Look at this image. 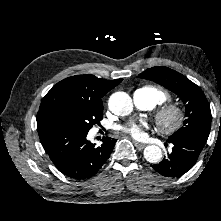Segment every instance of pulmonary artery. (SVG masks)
<instances>
[{"label":"pulmonary artery","instance_id":"e3ab8cb5","mask_svg":"<svg viewBox=\"0 0 221 221\" xmlns=\"http://www.w3.org/2000/svg\"><path fill=\"white\" fill-rule=\"evenodd\" d=\"M133 102L136 107L144 110L152 109L155 106L152 92L145 87L137 89L133 93Z\"/></svg>","mask_w":221,"mask_h":221}]
</instances>
